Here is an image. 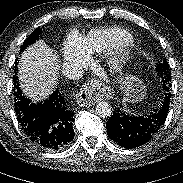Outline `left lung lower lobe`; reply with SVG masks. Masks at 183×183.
Returning a JSON list of instances; mask_svg holds the SVG:
<instances>
[{
	"mask_svg": "<svg viewBox=\"0 0 183 183\" xmlns=\"http://www.w3.org/2000/svg\"><path fill=\"white\" fill-rule=\"evenodd\" d=\"M170 76L162 80L165 96L161 104L142 116L128 115L123 106L115 108L107 122V133L110 139L121 147L132 149L148 142L165 122L171 94L168 93Z\"/></svg>",
	"mask_w": 183,
	"mask_h": 183,
	"instance_id": "0a47b994",
	"label": "left lung lower lobe"
}]
</instances>
